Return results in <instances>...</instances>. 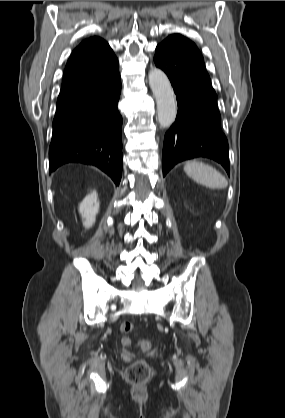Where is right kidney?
<instances>
[{
	"mask_svg": "<svg viewBox=\"0 0 285 418\" xmlns=\"http://www.w3.org/2000/svg\"><path fill=\"white\" fill-rule=\"evenodd\" d=\"M99 211V201L96 191L87 195L79 206V212L83 219L85 228H90L96 220V214Z\"/></svg>",
	"mask_w": 285,
	"mask_h": 418,
	"instance_id": "ca27d5eb",
	"label": "right kidney"
}]
</instances>
